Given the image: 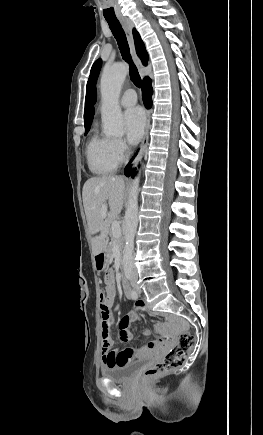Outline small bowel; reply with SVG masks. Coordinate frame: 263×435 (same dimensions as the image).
I'll return each mask as SVG.
<instances>
[{
    "label": "small bowel",
    "mask_w": 263,
    "mask_h": 435,
    "mask_svg": "<svg viewBox=\"0 0 263 435\" xmlns=\"http://www.w3.org/2000/svg\"><path fill=\"white\" fill-rule=\"evenodd\" d=\"M106 293L102 302H100V313L102 320V330L104 328H112L113 314L112 307L116 299V287H115V274L112 270H109L105 276ZM142 303H137L135 309L143 310ZM139 319V316L135 313L125 315L121 318L118 324L119 337L123 342L130 341L133 336L130 331V325L133 321ZM175 322V320H172ZM157 330L163 331L164 324H158ZM147 331L144 335H148ZM103 336V335H102ZM103 341V339H102ZM176 338L174 336H160L158 341L149 342L147 345L138 346L136 348H128L125 350H102V361L106 366H120L123 364L131 363L143 358L154 357L161 354L167 347V345H174Z\"/></svg>",
    "instance_id": "obj_1"
}]
</instances>
